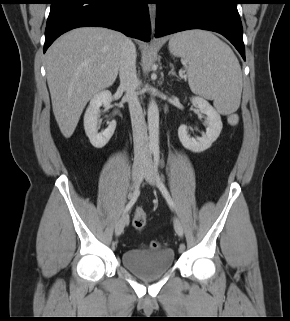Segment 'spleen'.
Instances as JSON below:
<instances>
[{"mask_svg": "<svg viewBox=\"0 0 290 321\" xmlns=\"http://www.w3.org/2000/svg\"><path fill=\"white\" fill-rule=\"evenodd\" d=\"M169 45L188 64L191 91L213 100L221 114H231L240 106L242 72L231 48L208 31H184L174 35Z\"/></svg>", "mask_w": 290, "mask_h": 321, "instance_id": "1", "label": "spleen"}]
</instances>
